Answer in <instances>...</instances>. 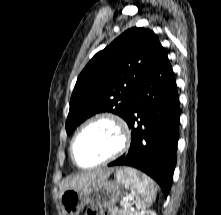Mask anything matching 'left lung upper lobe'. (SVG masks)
<instances>
[{"label": "left lung upper lobe", "mask_w": 221, "mask_h": 215, "mask_svg": "<svg viewBox=\"0 0 221 215\" xmlns=\"http://www.w3.org/2000/svg\"><path fill=\"white\" fill-rule=\"evenodd\" d=\"M161 48L152 30L133 27L95 54L79 75L73 90L66 121L67 134L99 112H112L125 119L129 102Z\"/></svg>", "instance_id": "left-lung-upper-lobe-1"}]
</instances>
